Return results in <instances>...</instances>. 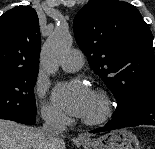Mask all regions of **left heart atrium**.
<instances>
[{
	"label": "left heart atrium",
	"instance_id": "39dd6f15",
	"mask_svg": "<svg viewBox=\"0 0 155 149\" xmlns=\"http://www.w3.org/2000/svg\"><path fill=\"white\" fill-rule=\"evenodd\" d=\"M93 92L82 81L59 85L53 93V100L69 114L83 117L87 111Z\"/></svg>",
	"mask_w": 155,
	"mask_h": 149
}]
</instances>
